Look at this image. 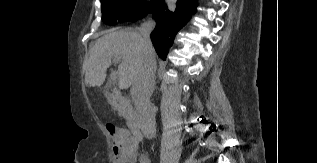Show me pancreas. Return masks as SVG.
I'll list each match as a JSON object with an SVG mask.
<instances>
[{"label":"pancreas","instance_id":"1","mask_svg":"<svg viewBox=\"0 0 317 163\" xmlns=\"http://www.w3.org/2000/svg\"><path fill=\"white\" fill-rule=\"evenodd\" d=\"M119 113H120L121 115H123L124 118H125L126 120H128V121H133V119H134V112H133V111H131V112H129V113H126V112H124V111H119Z\"/></svg>","mask_w":317,"mask_h":163}]
</instances>
